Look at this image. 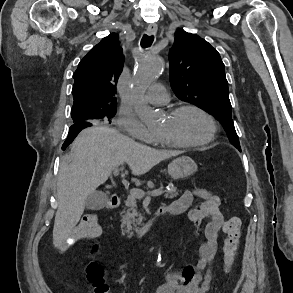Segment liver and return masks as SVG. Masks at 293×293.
I'll list each match as a JSON object with an SVG mask.
<instances>
[{"instance_id":"obj_1","label":"liver","mask_w":293,"mask_h":293,"mask_svg":"<svg viewBox=\"0 0 293 293\" xmlns=\"http://www.w3.org/2000/svg\"><path fill=\"white\" fill-rule=\"evenodd\" d=\"M179 154L137 143L108 126L95 125L82 130L72 144L70 155L60 165L54 245L60 246L69 236L84 212L87 197L108 180L115 168L126 163L132 174L139 176Z\"/></svg>"}]
</instances>
